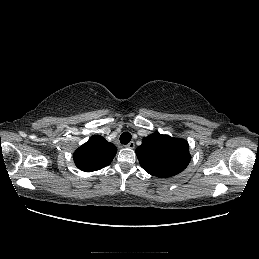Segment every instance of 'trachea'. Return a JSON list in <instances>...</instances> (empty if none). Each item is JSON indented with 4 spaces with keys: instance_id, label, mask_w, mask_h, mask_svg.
<instances>
[{
    "instance_id": "3493384b",
    "label": "trachea",
    "mask_w": 259,
    "mask_h": 259,
    "mask_svg": "<svg viewBox=\"0 0 259 259\" xmlns=\"http://www.w3.org/2000/svg\"><path fill=\"white\" fill-rule=\"evenodd\" d=\"M131 140V134L129 132H124L120 136V142L124 145L128 144Z\"/></svg>"
}]
</instances>
